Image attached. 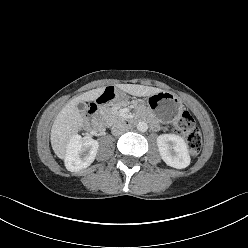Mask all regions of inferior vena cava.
Instances as JSON below:
<instances>
[{
	"label": "inferior vena cava",
	"mask_w": 248,
	"mask_h": 248,
	"mask_svg": "<svg viewBox=\"0 0 248 248\" xmlns=\"http://www.w3.org/2000/svg\"><path fill=\"white\" fill-rule=\"evenodd\" d=\"M128 129L127 125L123 122L114 123L111 127V132L113 135H119Z\"/></svg>",
	"instance_id": "602c4592"
}]
</instances>
